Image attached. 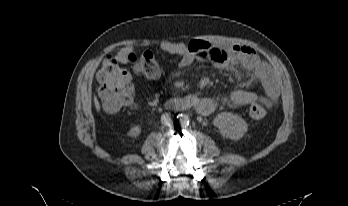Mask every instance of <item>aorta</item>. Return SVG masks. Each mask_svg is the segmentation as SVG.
Returning <instances> with one entry per match:
<instances>
[{"label":"aorta","mask_w":348,"mask_h":206,"mask_svg":"<svg viewBox=\"0 0 348 206\" xmlns=\"http://www.w3.org/2000/svg\"><path fill=\"white\" fill-rule=\"evenodd\" d=\"M177 119H178V122L180 123V125H182V126L189 123V117L185 114H179L177 116Z\"/></svg>","instance_id":"1"}]
</instances>
